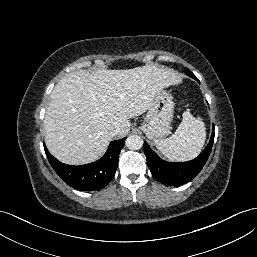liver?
<instances>
[{
	"instance_id": "obj_1",
	"label": "liver",
	"mask_w": 257,
	"mask_h": 257,
	"mask_svg": "<svg viewBox=\"0 0 257 257\" xmlns=\"http://www.w3.org/2000/svg\"><path fill=\"white\" fill-rule=\"evenodd\" d=\"M179 81L175 71L157 65L69 73L50 95L44 118L48 150L66 164L98 159L113 138L111 128L125 136L129 119L146 112L158 91Z\"/></svg>"
}]
</instances>
